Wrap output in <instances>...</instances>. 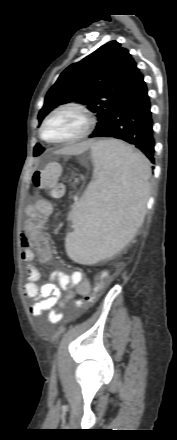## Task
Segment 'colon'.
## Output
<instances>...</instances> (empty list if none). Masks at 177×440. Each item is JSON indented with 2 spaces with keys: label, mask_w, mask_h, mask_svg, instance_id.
Listing matches in <instances>:
<instances>
[{
  "label": "colon",
  "mask_w": 177,
  "mask_h": 440,
  "mask_svg": "<svg viewBox=\"0 0 177 440\" xmlns=\"http://www.w3.org/2000/svg\"><path fill=\"white\" fill-rule=\"evenodd\" d=\"M61 175V167L58 164H50L43 170H37L32 175V182L35 187L46 190L53 197L63 195L64 188L59 181ZM102 288L96 286L91 294L81 298H76L73 303L74 311H81L82 304H92L101 294Z\"/></svg>",
  "instance_id": "1"
}]
</instances>
